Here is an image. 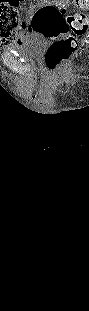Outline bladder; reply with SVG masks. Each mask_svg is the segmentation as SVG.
Segmentation results:
<instances>
[{
	"label": "bladder",
	"mask_w": 89,
	"mask_h": 311,
	"mask_svg": "<svg viewBox=\"0 0 89 311\" xmlns=\"http://www.w3.org/2000/svg\"><path fill=\"white\" fill-rule=\"evenodd\" d=\"M27 37L22 42L11 44L10 49L17 52L25 60L35 61L42 55L43 43L35 38Z\"/></svg>",
	"instance_id": "obj_1"
}]
</instances>
